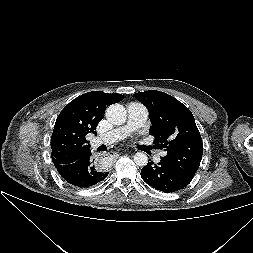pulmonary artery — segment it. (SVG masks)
Segmentation results:
<instances>
[{"mask_svg":"<svg viewBox=\"0 0 253 253\" xmlns=\"http://www.w3.org/2000/svg\"><path fill=\"white\" fill-rule=\"evenodd\" d=\"M128 119L124 126L115 128L105 134L96 136L91 141L93 147L105 144L109 145L124 139L134 130L144 125L148 118L147 108L138 102H131L127 105ZM155 160L160 161V156H156Z\"/></svg>","mask_w":253,"mask_h":253,"instance_id":"pulmonary-artery-1","label":"pulmonary artery"}]
</instances>
